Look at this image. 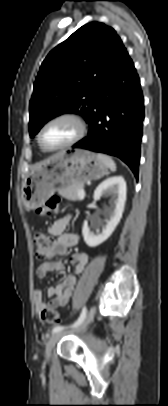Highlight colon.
<instances>
[{"instance_id": "5ec220e1", "label": "colon", "mask_w": 168, "mask_h": 406, "mask_svg": "<svg viewBox=\"0 0 168 406\" xmlns=\"http://www.w3.org/2000/svg\"><path fill=\"white\" fill-rule=\"evenodd\" d=\"M59 202V197L52 196L47 200L44 206L37 208L36 212L41 216H51L57 210ZM33 244L35 248V258L37 260H45L50 255L55 241L43 233H36L33 237ZM41 316L49 324L56 325L61 323L59 313L52 308H44L41 312Z\"/></svg>"}]
</instances>
